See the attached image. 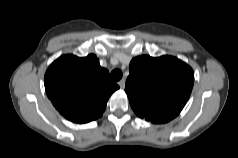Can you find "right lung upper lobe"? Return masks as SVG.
Here are the masks:
<instances>
[{"instance_id":"cb5924a9","label":"right lung upper lobe","mask_w":238,"mask_h":158,"mask_svg":"<svg viewBox=\"0 0 238 158\" xmlns=\"http://www.w3.org/2000/svg\"><path fill=\"white\" fill-rule=\"evenodd\" d=\"M44 84L55 108L75 123L101 117L109 97L119 89L94 54L59 57L47 69Z\"/></svg>"}]
</instances>
